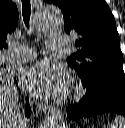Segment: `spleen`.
<instances>
[{
    "label": "spleen",
    "mask_w": 125,
    "mask_h": 128,
    "mask_svg": "<svg viewBox=\"0 0 125 128\" xmlns=\"http://www.w3.org/2000/svg\"><path fill=\"white\" fill-rule=\"evenodd\" d=\"M105 127V126H104ZM108 128H125V118L116 117Z\"/></svg>",
    "instance_id": "1"
}]
</instances>
